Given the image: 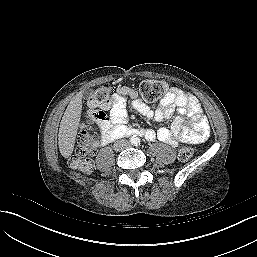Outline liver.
<instances>
[{
	"mask_svg": "<svg viewBox=\"0 0 257 257\" xmlns=\"http://www.w3.org/2000/svg\"><path fill=\"white\" fill-rule=\"evenodd\" d=\"M82 97V92H79L72 98L60 122L58 145L61 155L65 158L71 156L75 146L81 118Z\"/></svg>",
	"mask_w": 257,
	"mask_h": 257,
	"instance_id": "obj_1",
	"label": "liver"
}]
</instances>
